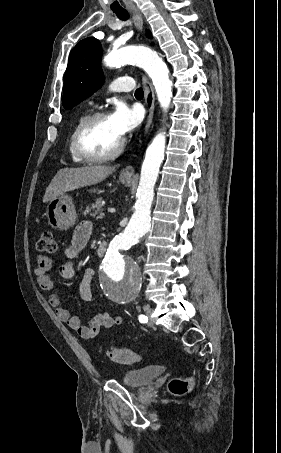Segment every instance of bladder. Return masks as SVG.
Segmentation results:
<instances>
[{
	"label": "bladder",
	"instance_id": "bladder-1",
	"mask_svg": "<svg viewBox=\"0 0 281 453\" xmlns=\"http://www.w3.org/2000/svg\"><path fill=\"white\" fill-rule=\"evenodd\" d=\"M164 372L160 366L133 369L125 373L122 382L129 387H141L151 383Z\"/></svg>",
	"mask_w": 281,
	"mask_h": 453
}]
</instances>
